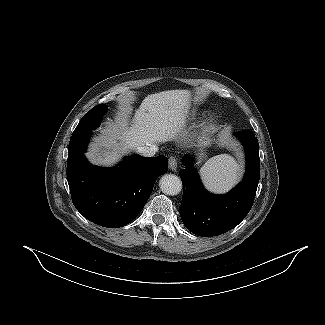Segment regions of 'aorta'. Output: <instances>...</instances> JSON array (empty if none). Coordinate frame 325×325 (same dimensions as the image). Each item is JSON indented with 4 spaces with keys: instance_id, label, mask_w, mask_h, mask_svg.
Instances as JSON below:
<instances>
[{
    "instance_id": "obj_1",
    "label": "aorta",
    "mask_w": 325,
    "mask_h": 325,
    "mask_svg": "<svg viewBox=\"0 0 325 325\" xmlns=\"http://www.w3.org/2000/svg\"><path fill=\"white\" fill-rule=\"evenodd\" d=\"M161 191L166 195H177L182 190L180 178L174 174L163 175L159 181Z\"/></svg>"
}]
</instances>
